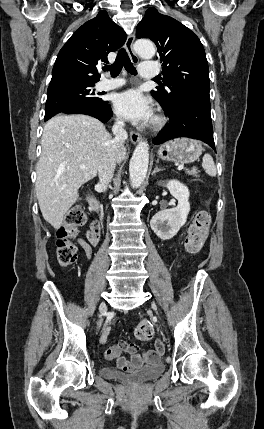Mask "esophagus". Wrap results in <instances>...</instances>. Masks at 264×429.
<instances>
[{"mask_svg": "<svg viewBox=\"0 0 264 429\" xmlns=\"http://www.w3.org/2000/svg\"><path fill=\"white\" fill-rule=\"evenodd\" d=\"M134 39H135L134 35H129L125 42V48L132 62L138 63L139 59L133 49ZM129 136L133 144H137L138 142L141 141V135L135 131H130Z\"/></svg>", "mask_w": 264, "mask_h": 429, "instance_id": "1", "label": "esophagus"}]
</instances>
